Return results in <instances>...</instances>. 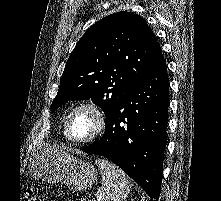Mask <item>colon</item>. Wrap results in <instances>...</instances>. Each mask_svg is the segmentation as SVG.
<instances>
[{
    "instance_id": "5ec220e1",
    "label": "colon",
    "mask_w": 221,
    "mask_h": 201,
    "mask_svg": "<svg viewBox=\"0 0 221 201\" xmlns=\"http://www.w3.org/2000/svg\"><path fill=\"white\" fill-rule=\"evenodd\" d=\"M21 201H34V195L32 190H27L21 198Z\"/></svg>"
}]
</instances>
